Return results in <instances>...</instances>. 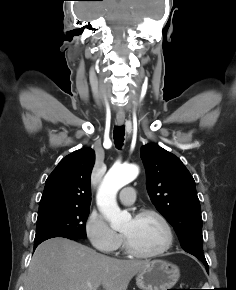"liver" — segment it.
<instances>
[{
	"label": "liver",
	"mask_w": 236,
	"mask_h": 290,
	"mask_svg": "<svg viewBox=\"0 0 236 290\" xmlns=\"http://www.w3.org/2000/svg\"><path fill=\"white\" fill-rule=\"evenodd\" d=\"M150 262L112 258L66 238H52L35 250L25 290H126Z\"/></svg>",
	"instance_id": "obj_1"
}]
</instances>
